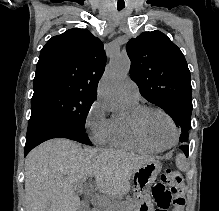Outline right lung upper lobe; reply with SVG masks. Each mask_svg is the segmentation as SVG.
<instances>
[{"mask_svg":"<svg viewBox=\"0 0 219 211\" xmlns=\"http://www.w3.org/2000/svg\"><path fill=\"white\" fill-rule=\"evenodd\" d=\"M106 56L102 42L88 30L74 28L49 39L40 53L34 92L62 87L96 96Z\"/></svg>","mask_w":219,"mask_h":211,"instance_id":"1","label":"right lung upper lobe"}]
</instances>
